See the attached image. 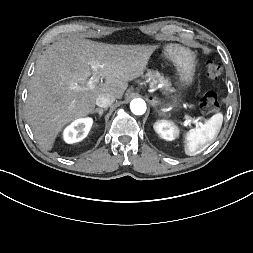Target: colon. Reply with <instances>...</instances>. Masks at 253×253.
Here are the masks:
<instances>
[{
	"instance_id": "5ec220e1",
	"label": "colon",
	"mask_w": 253,
	"mask_h": 253,
	"mask_svg": "<svg viewBox=\"0 0 253 253\" xmlns=\"http://www.w3.org/2000/svg\"><path fill=\"white\" fill-rule=\"evenodd\" d=\"M206 74L210 79H217L222 73V67L215 61H208L205 65ZM200 109L205 113H213L218 108L217 95L213 91L206 92L199 103Z\"/></svg>"
}]
</instances>
